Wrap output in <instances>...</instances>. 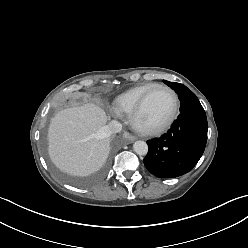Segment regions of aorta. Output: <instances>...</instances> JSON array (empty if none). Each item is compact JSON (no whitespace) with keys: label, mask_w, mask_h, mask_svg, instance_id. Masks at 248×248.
I'll return each instance as SVG.
<instances>
[{"label":"aorta","mask_w":248,"mask_h":248,"mask_svg":"<svg viewBox=\"0 0 248 248\" xmlns=\"http://www.w3.org/2000/svg\"><path fill=\"white\" fill-rule=\"evenodd\" d=\"M133 150L138 155H146L148 152V145L144 141H136L133 144Z\"/></svg>","instance_id":"aorta-1"}]
</instances>
